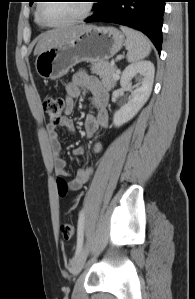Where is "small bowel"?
Returning <instances> with one entry per match:
<instances>
[{
	"mask_svg": "<svg viewBox=\"0 0 195 299\" xmlns=\"http://www.w3.org/2000/svg\"><path fill=\"white\" fill-rule=\"evenodd\" d=\"M82 91H87L92 96V105L96 109L95 115H88L85 119L84 128L87 136L95 135L99 130L106 128L108 124V111L106 108L108 91L100 83V81L91 75L84 72L74 74L71 82L66 86L65 97V115L59 123H49L47 125L48 139L50 148L54 157V170L57 176L68 178L69 174L66 170V162L62 158L61 143L57 128H63L70 133L75 132L74 123L68 115L72 114L75 107V99L80 96ZM101 150V144L94 145V151L98 153ZM83 148H77L74 151L75 156L83 154ZM94 171L93 165L86 166L79 170L77 175L68 180L70 190H79L86 184Z\"/></svg>",
	"mask_w": 195,
	"mask_h": 299,
	"instance_id": "1",
	"label": "small bowel"
}]
</instances>
